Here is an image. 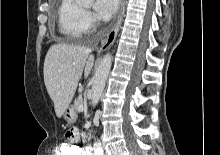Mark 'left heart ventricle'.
Listing matches in <instances>:
<instances>
[{
  "mask_svg": "<svg viewBox=\"0 0 220 155\" xmlns=\"http://www.w3.org/2000/svg\"><path fill=\"white\" fill-rule=\"evenodd\" d=\"M85 7H86V8H89V7H90V5H85Z\"/></svg>",
  "mask_w": 220,
  "mask_h": 155,
  "instance_id": "1",
  "label": "left heart ventricle"
}]
</instances>
